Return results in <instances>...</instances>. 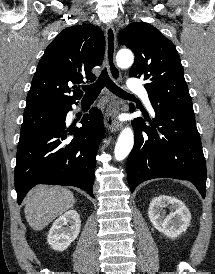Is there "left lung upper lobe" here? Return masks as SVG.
<instances>
[{"label": "left lung upper lobe", "instance_id": "obj_1", "mask_svg": "<svg viewBox=\"0 0 215 274\" xmlns=\"http://www.w3.org/2000/svg\"><path fill=\"white\" fill-rule=\"evenodd\" d=\"M118 40L134 52L130 75L147 81L151 102L193 112L180 57L169 39L148 23L134 22L119 32Z\"/></svg>", "mask_w": 215, "mask_h": 274}]
</instances>
